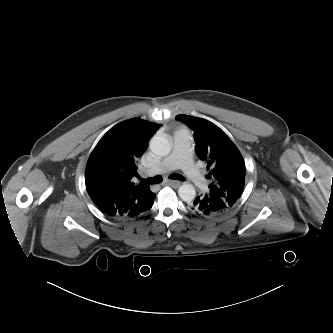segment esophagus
I'll return each instance as SVG.
<instances>
[{
    "mask_svg": "<svg viewBox=\"0 0 333 333\" xmlns=\"http://www.w3.org/2000/svg\"><path fill=\"white\" fill-rule=\"evenodd\" d=\"M163 185H168V186L177 188L180 186V182L174 181V180H166V181H164Z\"/></svg>",
    "mask_w": 333,
    "mask_h": 333,
    "instance_id": "34e87169",
    "label": "esophagus"
}]
</instances>
